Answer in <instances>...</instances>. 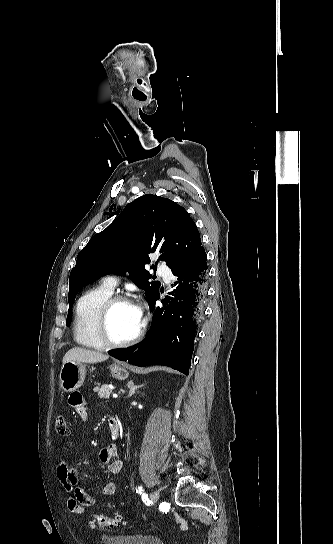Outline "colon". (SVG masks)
I'll use <instances>...</instances> for the list:
<instances>
[{"mask_svg":"<svg viewBox=\"0 0 333 544\" xmlns=\"http://www.w3.org/2000/svg\"><path fill=\"white\" fill-rule=\"evenodd\" d=\"M55 431L58 435L68 436L70 435V428L68 426L67 420L64 416H58L55 419ZM123 522V516L121 514H114L113 516H107L103 514L94 515L90 526L92 528H111L119 526Z\"/></svg>","mask_w":333,"mask_h":544,"instance_id":"colon-1","label":"colon"}]
</instances>
